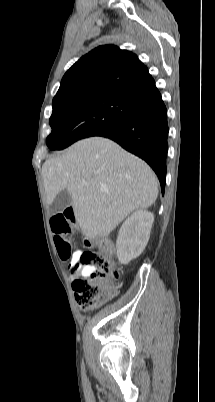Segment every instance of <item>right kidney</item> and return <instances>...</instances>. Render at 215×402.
I'll use <instances>...</instances> for the list:
<instances>
[{"instance_id": "right-kidney-1", "label": "right kidney", "mask_w": 215, "mask_h": 402, "mask_svg": "<svg viewBox=\"0 0 215 402\" xmlns=\"http://www.w3.org/2000/svg\"><path fill=\"white\" fill-rule=\"evenodd\" d=\"M153 222V213L137 210L122 224L116 242L117 257L121 264H128L143 252Z\"/></svg>"}]
</instances>
